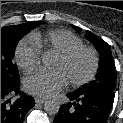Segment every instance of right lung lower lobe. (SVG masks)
Returning a JSON list of instances; mask_svg holds the SVG:
<instances>
[{
    "label": "right lung lower lobe",
    "instance_id": "obj_1",
    "mask_svg": "<svg viewBox=\"0 0 123 123\" xmlns=\"http://www.w3.org/2000/svg\"><path fill=\"white\" fill-rule=\"evenodd\" d=\"M19 84L1 81V123H23L24 117L34 105V98L20 91ZM12 95L19 98L11 103Z\"/></svg>",
    "mask_w": 123,
    "mask_h": 123
}]
</instances>
